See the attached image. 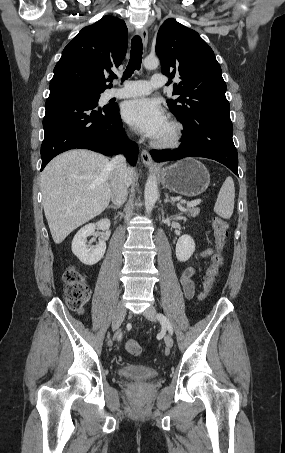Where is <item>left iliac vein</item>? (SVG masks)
I'll use <instances>...</instances> for the list:
<instances>
[{"label":"left iliac vein","mask_w":285,"mask_h":453,"mask_svg":"<svg viewBox=\"0 0 285 453\" xmlns=\"http://www.w3.org/2000/svg\"><path fill=\"white\" fill-rule=\"evenodd\" d=\"M144 316L150 320V321H156V309L153 306H149L145 311H144ZM165 344L168 348H171L173 346V338L170 334H166L164 337Z\"/></svg>","instance_id":"left-iliac-vein-1"}]
</instances>
